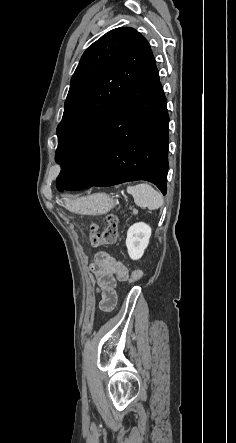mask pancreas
Instances as JSON below:
<instances>
[{"mask_svg":"<svg viewBox=\"0 0 236 443\" xmlns=\"http://www.w3.org/2000/svg\"><path fill=\"white\" fill-rule=\"evenodd\" d=\"M138 211L136 209H133V214L136 215Z\"/></svg>","mask_w":236,"mask_h":443,"instance_id":"obj_1","label":"pancreas"}]
</instances>
